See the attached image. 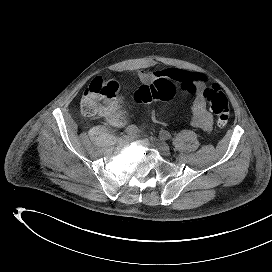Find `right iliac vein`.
Listing matches in <instances>:
<instances>
[{
    "mask_svg": "<svg viewBox=\"0 0 272 272\" xmlns=\"http://www.w3.org/2000/svg\"><path fill=\"white\" fill-rule=\"evenodd\" d=\"M129 144V137L128 136H122L119 138V145L120 147L124 148L128 146Z\"/></svg>",
    "mask_w": 272,
    "mask_h": 272,
    "instance_id": "right-iliac-vein-1",
    "label": "right iliac vein"
}]
</instances>
